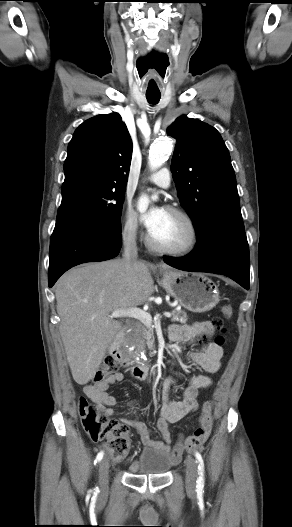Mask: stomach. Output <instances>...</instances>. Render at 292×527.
Listing matches in <instances>:
<instances>
[{"label": "stomach", "mask_w": 292, "mask_h": 527, "mask_svg": "<svg viewBox=\"0 0 292 527\" xmlns=\"http://www.w3.org/2000/svg\"><path fill=\"white\" fill-rule=\"evenodd\" d=\"M162 286L185 309L203 313L219 302L215 283L204 274L183 271H165Z\"/></svg>", "instance_id": "1"}]
</instances>
